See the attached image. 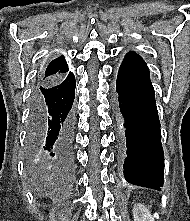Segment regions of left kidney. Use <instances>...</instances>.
Wrapping results in <instances>:
<instances>
[{
  "instance_id": "left-kidney-1",
  "label": "left kidney",
  "mask_w": 190,
  "mask_h": 221,
  "mask_svg": "<svg viewBox=\"0 0 190 221\" xmlns=\"http://www.w3.org/2000/svg\"><path fill=\"white\" fill-rule=\"evenodd\" d=\"M134 221H154V217L143 204H135L133 208Z\"/></svg>"
}]
</instances>
